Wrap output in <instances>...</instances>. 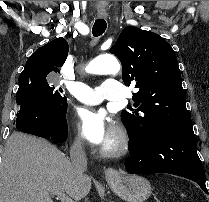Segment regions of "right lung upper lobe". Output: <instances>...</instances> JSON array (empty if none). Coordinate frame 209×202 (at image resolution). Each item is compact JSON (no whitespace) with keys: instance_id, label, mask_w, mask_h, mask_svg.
Returning <instances> with one entry per match:
<instances>
[{"instance_id":"right-lung-upper-lobe-1","label":"right lung upper lobe","mask_w":209,"mask_h":202,"mask_svg":"<svg viewBox=\"0 0 209 202\" xmlns=\"http://www.w3.org/2000/svg\"><path fill=\"white\" fill-rule=\"evenodd\" d=\"M69 51L68 43L64 38H57L38 48L27 60L20 75L51 72H60Z\"/></svg>"}]
</instances>
